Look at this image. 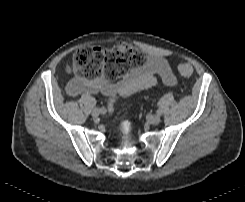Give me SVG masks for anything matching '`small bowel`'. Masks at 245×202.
<instances>
[{"mask_svg": "<svg viewBox=\"0 0 245 202\" xmlns=\"http://www.w3.org/2000/svg\"><path fill=\"white\" fill-rule=\"evenodd\" d=\"M160 78L164 85L175 87L178 82L167 61L161 56H149L143 67L132 70L123 80L111 82L105 77L94 80L77 78L70 83V96L102 93L115 103L121 97L129 96L154 86Z\"/></svg>", "mask_w": 245, "mask_h": 202, "instance_id": "obj_1", "label": "small bowel"}]
</instances>
